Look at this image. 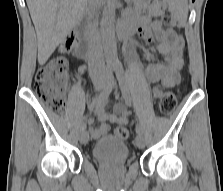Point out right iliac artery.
<instances>
[{"label":"right iliac artery","mask_w":223,"mask_h":191,"mask_svg":"<svg viewBox=\"0 0 223 191\" xmlns=\"http://www.w3.org/2000/svg\"><path fill=\"white\" fill-rule=\"evenodd\" d=\"M109 73H110V79L108 81V84L107 86L103 89V91L98 95L96 96L93 101L90 103L89 105V109H93L99 102H101L102 100H105L108 98V96L110 95L111 91H112V87H113V81L111 79V75H112V69L109 68ZM86 127L84 124L81 125L80 127V131L81 130H84Z\"/></svg>","instance_id":"82829eb1"}]
</instances>
